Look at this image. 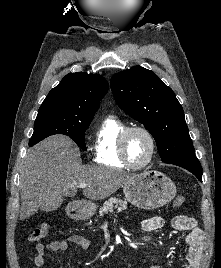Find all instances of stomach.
Instances as JSON below:
<instances>
[{
  "label": "stomach",
  "mask_w": 221,
  "mask_h": 268,
  "mask_svg": "<svg viewBox=\"0 0 221 268\" xmlns=\"http://www.w3.org/2000/svg\"><path fill=\"white\" fill-rule=\"evenodd\" d=\"M124 195L131 204L142 209H156L168 204L176 195V186L165 174L147 170L134 175L123 185ZM96 205L90 201L74 203L67 211L71 218L85 220L92 217Z\"/></svg>",
  "instance_id": "stomach-1"
}]
</instances>
